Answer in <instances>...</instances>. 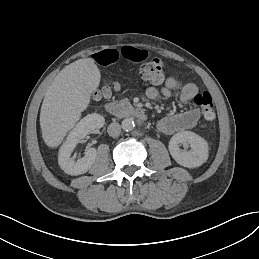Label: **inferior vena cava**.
Here are the masks:
<instances>
[{
    "label": "inferior vena cava",
    "mask_w": 259,
    "mask_h": 259,
    "mask_svg": "<svg viewBox=\"0 0 259 259\" xmlns=\"http://www.w3.org/2000/svg\"><path fill=\"white\" fill-rule=\"evenodd\" d=\"M109 136L116 138L121 133V126L118 123H111L107 128Z\"/></svg>",
    "instance_id": "602c4592"
}]
</instances>
